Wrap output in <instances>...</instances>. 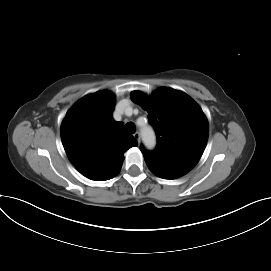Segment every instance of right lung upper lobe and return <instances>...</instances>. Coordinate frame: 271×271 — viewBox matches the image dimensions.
<instances>
[{"label":"right lung upper lobe","instance_id":"right-lung-upper-lobe-1","mask_svg":"<svg viewBox=\"0 0 271 271\" xmlns=\"http://www.w3.org/2000/svg\"><path fill=\"white\" fill-rule=\"evenodd\" d=\"M115 96L101 91L80 99L61 125L64 149L74 167L85 177L104 181L116 176L123 154L137 146L136 139L123 131L112 117Z\"/></svg>","mask_w":271,"mask_h":271}]
</instances>
